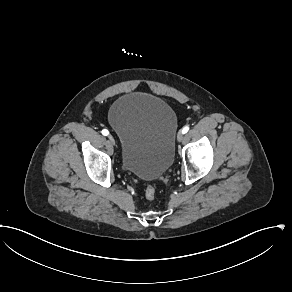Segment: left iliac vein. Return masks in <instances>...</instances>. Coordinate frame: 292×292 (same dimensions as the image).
<instances>
[{
	"label": "left iliac vein",
	"instance_id": "1",
	"mask_svg": "<svg viewBox=\"0 0 292 292\" xmlns=\"http://www.w3.org/2000/svg\"><path fill=\"white\" fill-rule=\"evenodd\" d=\"M184 138V134L182 132H179L178 135H177V141L178 142H181Z\"/></svg>",
	"mask_w": 292,
	"mask_h": 292
}]
</instances>
